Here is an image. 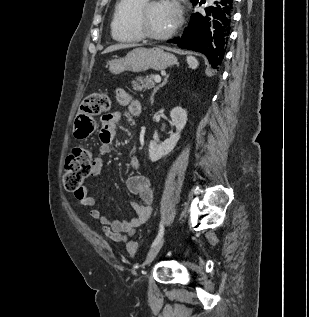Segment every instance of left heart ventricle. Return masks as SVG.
Here are the masks:
<instances>
[{
    "instance_id": "left-heart-ventricle-1",
    "label": "left heart ventricle",
    "mask_w": 309,
    "mask_h": 317,
    "mask_svg": "<svg viewBox=\"0 0 309 317\" xmlns=\"http://www.w3.org/2000/svg\"><path fill=\"white\" fill-rule=\"evenodd\" d=\"M177 22L167 2L153 5L146 15V26L154 34L168 32Z\"/></svg>"
}]
</instances>
